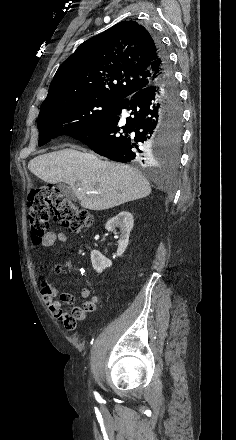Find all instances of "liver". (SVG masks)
<instances>
[{"mask_svg": "<svg viewBox=\"0 0 236 440\" xmlns=\"http://www.w3.org/2000/svg\"><path fill=\"white\" fill-rule=\"evenodd\" d=\"M28 168L47 183L69 184L81 206L90 210L110 209L151 193L148 180L135 168L73 148L39 155Z\"/></svg>", "mask_w": 236, "mask_h": 440, "instance_id": "1", "label": "liver"}]
</instances>
